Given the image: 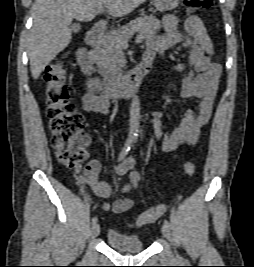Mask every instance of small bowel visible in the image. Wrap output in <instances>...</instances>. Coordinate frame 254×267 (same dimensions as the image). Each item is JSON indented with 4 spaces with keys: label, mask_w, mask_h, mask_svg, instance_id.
<instances>
[{
    "label": "small bowel",
    "mask_w": 254,
    "mask_h": 267,
    "mask_svg": "<svg viewBox=\"0 0 254 267\" xmlns=\"http://www.w3.org/2000/svg\"><path fill=\"white\" fill-rule=\"evenodd\" d=\"M165 33L154 37L149 41L145 56L152 60L156 56H163L164 52L178 44L190 51L189 61L180 63L173 68L177 71L190 69L183 78L181 95L186 98H197L199 100L195 111H187L182 117L179 125L169 133H165L161 121V114L155 113L150 120L156 138L162 141V150L171 152L181 144L195 145L202 128L208 123L217 93L218 79L221 74V66L212 61L213 44L201 19L195 15L184 19L170 14L163 18ZM182 28V29H181ZM102 83L98 78L87 80L85 91L81 96V106L86 112L108 115L111 103L107 97L99 94L98 88ZM134 159L126 158L115 169L117 175L129 173L128 181L121 186L120 191L124 194L134 192L139 187L141 175L132 170ZM100 164L96 160L90 161L81 172L75 169L77 184H87L93 192L102 197L109 198L112 194L111 186L104 181L98 180ZM82 195L89 199L88 194L82 190ZM132 198H121L113 203H102L100 209L105 212L124 213L133 206Z\"/></svg>",
    "instance_id": "obj_1"
}]
</instances>
